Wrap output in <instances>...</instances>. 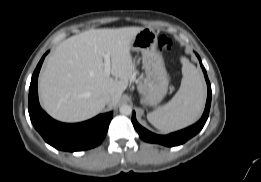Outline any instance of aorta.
Listing matches in <instances>:
<instances>
[{
	"instance_id": "1",
	"label": "aorta",
	"mask_w": 261,
	"mask_h": 182,
	"mask_svg": "<svg viewBox=\"0 0 261 182\" xmlns=\"http://www.w3.org/2000/svg\"><path fill=\"white\" fill-rule=\"evenodd\" d=\"M119 111L122 115H130L132 113V107L129 105H122L119 108Z\"/></svg>"
}]
</instances>
